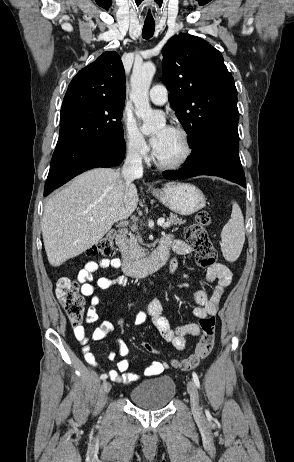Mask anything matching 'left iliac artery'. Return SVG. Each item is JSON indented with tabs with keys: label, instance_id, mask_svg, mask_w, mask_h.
<instances>
[{
	"label": "left iliac artery",
	"instance_id": "44dca946",
	"mask_svg": "<svg viewBox=\"0 0 294 462\" xmlns=\"http://www.w3.org/2000/svg\"><path fill=\"white\" fill-rule=\"evenodd\" d=\"M192 377H193V381H194L195 385L197 386V388H200V382H199L198 375L195 372H193Z\"/></svg>",
	"mask_w": 294,
	"mask_h": 462
}]
</instances>
